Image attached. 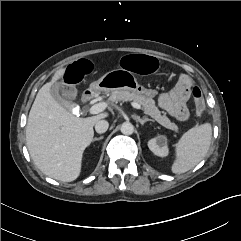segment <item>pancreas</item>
<instances>
[{
	"label": "pancreas",
	"instance_id": "obj_1",
	"mask_svg": "<svg viewBox=\"0 0 241 241\" xmlns=\"http://www.w3.org/2000/svg\"><path fill=\"white\" fill-rule=\"evenodd\" d=\"M110 100L113 102L132 101L138 103L142 106L144 113L149 115L160 125L172 131L178 132V126L171 122L165 114L162 115L161 111L156 106L155 101L151 97L121 89L113 91L111 93Z\"/></svg>",
	"mask_w": 241,
	"mask_h": 241
}]
</instances>
